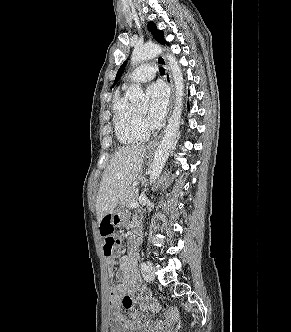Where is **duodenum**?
Here are the masks:
<instances>
[{
  "mask_svg": "<svg viewBox=\"0 0 291 332\" xmlns=\"http://www.w3.org/2000/svg\"><path fill=\"white\" fill-rule=\"evenodd\" d=\"M133 226H135V224H133ZM132 245H134V241L132 242Z\"/></svg>",
  "mask_w": 291,
  "mask_h": 332,
  "instance_id": "obj_1",
  "label": "duodenum"
}]
</instances>
